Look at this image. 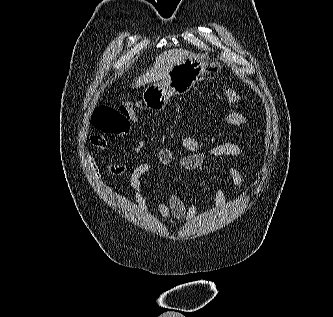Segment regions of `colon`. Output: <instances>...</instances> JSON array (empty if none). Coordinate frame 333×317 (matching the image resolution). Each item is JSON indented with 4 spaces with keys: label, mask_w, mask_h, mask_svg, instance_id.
<instances>
[{
    "label": "colon",
    "mask_w": 333,
    "mask_h": 317,
    "mask_svg": "<svg viewBox=\"0 0 333 317\" xmlns=\"http://www.w3.org/2000/svg\"><path fill=\"white\" fill-rule=\"evenodd\" d=\"M224 94L230 103L238 102L241 98V95L232 89H226ZM137 121L138 116L130 102H124L119 106H99L91 116V125L94 129L116 136L128 135L132 124Z\"/></svg>",
    "instance_id": "obj_1"
}]
</instances>
